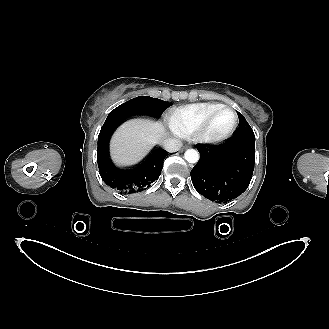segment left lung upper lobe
<instances>
[{
  "label": "left lung upper lobe",
  "instance_id": "5c2ea615",
  "mask_svg": "<svg viewBox=\"0 0 329 329\" xmlns=\"http://www.w3.org/2000/svg\"><path fill=\"white\" fill-rule=\"evenodd\" d=\"M237 113H238V117H239V127L237 128L233 138L241 137V136L255 138L253 130L250 127V125L248 124V122L246 121V119L244 118V116L239 112H237Z\"/></svg>",
  "mask_w": 329,
  "mask_h": 329
}]
</instances>
